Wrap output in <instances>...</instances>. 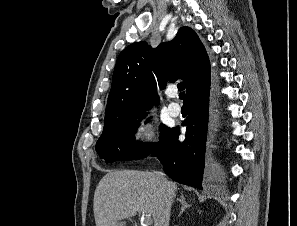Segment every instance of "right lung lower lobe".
Returning <instances> with one entry per match:
<instances>
[{
    "label": "right lung lower lobe",
    "mask_w": 297,
    "mask_h": 226,
    "mask_svg": "<svg viewBox=\"0 0 297 226\" xmlns=\"http://www.w3.org/2000/svg\"><path fill=\"white\" fill-rule=\"evenodd\" d=\"M209 92L210 85L188 98V116L182 123L187 126L184 142L178 140L179 127L172 128L150 154L158 157L171 179L198 189H202L205 167ZM214 168L217 178L218 168Z\"/></svg>",
    "instance_id": "98d812e1"
}]
</instances>
